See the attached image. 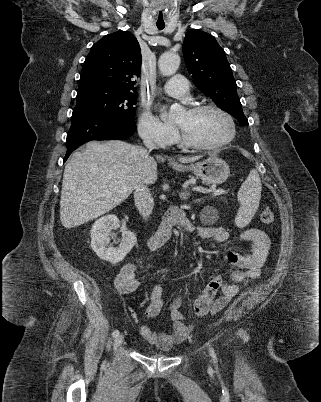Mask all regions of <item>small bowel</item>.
Wrapping results in <instances>:
<instances>
[{
    "label": "small bowel",
    "instance_id": "small-bowel-1",
    "mask_svg": "<svg viewBox=\"0 0 321 402\" xmlns=\"http://www.w3.org/2000/svg\"><path fill=\"white\" fill-rule=\"evenodd\" d=\"M184 228L187 232L194 233L202 239L214 240L218 243L226 242L229 237L228 231L223 227L195 226L186 221ZM240 238L250 245V254L243 255L234 251L224 253L223 260L233 268L229 280H224L219 274H212L203 294L194 300V309L201 301L212 299L207 313L215 315L223 310L239 293L241 285H247L250 281L260 276L270 248V241L267 235L260 229L250 228L244 230ZM135 270L136 266L134 264H127L120 270L115 280L117 291L120 294L133 293L139 287V281L135 277ZM219 293H221V296H218ZM181 302V298L177 297L169 307V315L173 322V330L170 334L157 333L147 325L140 326L139 332L148 343L167 350L189 336L191 326L185 323V316L179 310ZM163 305V287L154 285L151 288L150 302L146 308L147 317H156L162 310Z\"/></svg>",
    "mask_w": 321,
    "mask_h": 402
}]
</instances>
